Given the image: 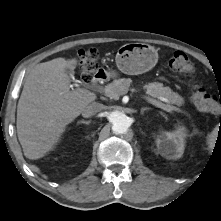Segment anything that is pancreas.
Returning a JSON list of instances; mask_svg holds the SVG:
<instances>
[{
	"mask_svg": "<svg viewBox=\"0 0 221 221\" xmlns=\"http://www.w3.org/2000/svg\"><path fill=\"white\" fill-rule=\"evenodd\" d=\"M132 80L130 78H121L114 80L112 83L105 86L104 91L109 88L110 92L105 93L110 98H117L120 95L126 93L130 87ZM146 94L157 99H167L168 103L182 106L184 104V98L178 93L173 92L169 87H164L160 82H152L143 86ZM174 110L176 107L172 106Z\"/></svg>",
	"mask_w": 221,
	"mask_h": 221,
	"instance_id": "obj_1",
	"label": "pancreas"
}]
</instances>
